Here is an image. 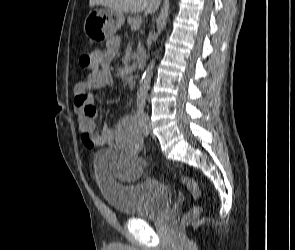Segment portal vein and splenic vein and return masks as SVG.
<instances>
[{
  "label": "portal vein and splenic vein",
  "mask_w": 295,
  "mask_h": 250,
  "mask_svg": "<svg viewBox=\"0 0 295 250\" xmlns=\"http://www.w3.org/2000/svg\"><path fill=\"white\" fill-rule=\"evenodd\" d=\"M142 24V20L140 19L138 22L134 24V28H139Z\"/></svg>",
  "instance_id": "1"
}]
</instances>
